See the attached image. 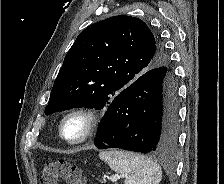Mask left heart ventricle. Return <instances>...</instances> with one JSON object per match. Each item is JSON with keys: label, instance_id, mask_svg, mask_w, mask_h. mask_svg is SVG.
<instances>
[{"label": "left heart ventricle", "instance_id": "b2bd125f", "mask_svg": "<svg viewBox=\"0 0 224 184\" xmlns=\"http://www.w3.org/2000/svg\"><path fill=\"white\" fill-rule=\"evenodd\" d=\"M84 131V121L79 117L70 118L64 125V134L69 139L79 138Z\"/></svg>", "mask_w": 224, "mask_h": 184}]
</instances>
